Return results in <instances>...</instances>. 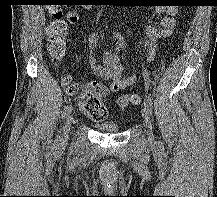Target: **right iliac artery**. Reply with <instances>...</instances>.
I'll list each match as a JSON object with an SVG mask.
<instances>
[{"mask_svg":"<svg viewBox=\"0 0 217 197\" xmlns=\"http://www.w3.org/2000/svg\"><path fill=\"white\" fill-rule=\"evenodd\" d=\"M72 109H73L72 105L65 106L63 113H62V118H65L66 116H68L71 113Z\"/></svg>","mask_w":217,"mask_h":197,"instance_id":"obj_1","label":"right iliac artery"}]
</instances>
